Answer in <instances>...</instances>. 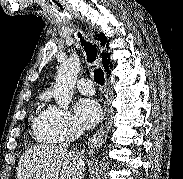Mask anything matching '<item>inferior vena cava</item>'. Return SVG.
<instances>
[{"instance_id": "602c4592", "label": "inferior vena cava", "mask_w": 183, "mask_h": 179, "mask_svg": "<svg viewBox=\"0 0 183 179\" xmlns=\"http://www.w3.org/2000/svg\"><path fill=\"white\" fill-rule=\"evenodd\" d=\"M80 134L81 130L71 129L66 139V142L62 143L60 146L65 149L68 148L70 146V143L75 141L80 136ZM83 172H84V163L79 158L77 161V169L75 171L73 179H84Z\"/></svg>"}]
</instances>
